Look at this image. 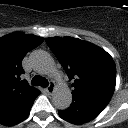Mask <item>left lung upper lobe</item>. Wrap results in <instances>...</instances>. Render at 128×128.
<instances>
[{
    "label": "left lung upper lobe",
    "instance_id": "obj_1",
    "mask_svg": "<svg viewBox=\"0 0 128 128\" xmlns=\"http://www.w3.org/2000/svg\"><path fill=\"white\" fill-rule=\"evenodd\" d=\"M70 80L73 98L109 103L116 84V66L100 47L72 37L46 38Z\"/></svg>",
    "mask_w": 128,
    "mask_h": 128
}]
</instances>
